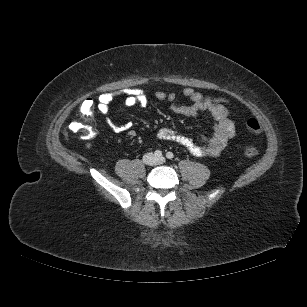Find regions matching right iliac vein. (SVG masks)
Instances as JSON below:
<instances>
[{
	"mask_svg": "<svg viewBox=\"0 0 307 307\" xmlns=\"http://www.w3.org/2000/svg\"><path fill=\"white\" fill-rule=\"evenodd\" d=\"M146 163L147 164H153L154 163V157L151 154L147 155Z\"/></svg>",
	"mask_w": 307,
	"mask_h": 307,
	"instance_id": "1",
	"label": "right iliac vein"
}]
</instances>
